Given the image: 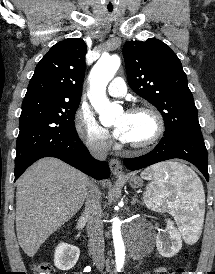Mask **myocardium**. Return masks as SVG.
<instances>
[{
	"instance_id": "myocardium-1",
	"label": "myocardium",
	"mask_w": 215,
	"mask_h": 274,
	"mask_svg": "<svg viewBox=\"0 0 215 274\" xmlns=\"http://www.w3.org/2000/svg\"><path fill=\"white\" fill-rule=\"evenodd\" d=\"M128 113H147L152 117L155 124L154 133L149 139L139 143L125 142L128 147L135 150H147L154 146L162 138L165 132V122L162 115L156 108L150 105H138L130 108Z\"/></svg>"
}]
</instances>
